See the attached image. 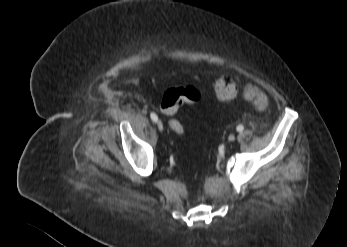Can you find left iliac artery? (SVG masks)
I'll return each mask as SVG.
<instances>
[{
    "label": "left iliac artery",
    "mask_w": 347,
    "mask_h": 247,
    "mask_svg": "<svg viewBox=\"0 0 347 247\" xmlns=\"http://www.w3.org/2000/svg\"><path fill=\"white\" fill-rule=\"evenodd\" d=\"M236 129L238 132H242L244 130V127L242 125H238Z\"/></svg>",
    "instance_id": "44dca946"
}]
</instances>
